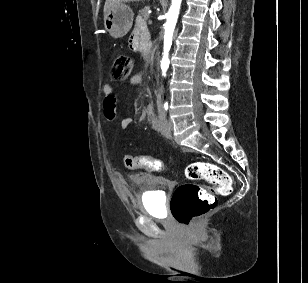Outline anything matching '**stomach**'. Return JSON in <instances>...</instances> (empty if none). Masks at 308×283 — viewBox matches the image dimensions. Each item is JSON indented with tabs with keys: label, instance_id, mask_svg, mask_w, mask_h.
I'll return each instance as SVG.
<instances>
[{
	"label": "stomach",
	"instance_id": "1",
	"mask_svg": "<svg viewBox=\"0 0 308 283\" xmlns=\"http://www.w3.org/2000/svg\"><path fill=\"white\" fill-rule=\"evenodd\" d=\"M133 16L129 6L115 5L104 15V27L113 38H122L131 29Z\"/></svg>",
	"mask_w": 308,
	"mask_h": 283
}]
</instances>
